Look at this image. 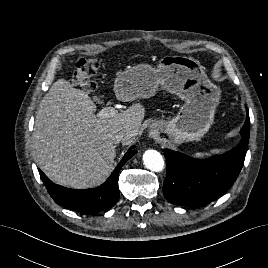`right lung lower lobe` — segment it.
<instances>
[{"instance_id": "98d812e1", "label": "right lung lower lobe", "mask_w": 268, "mask_h": 268, "mask_svg": "<svg viewBox=\"0 0 268 268\" xmlns=\"http://www.w3.org/2000/svg\"><path fill=\"white\" fill-rule=\"evenodd\" d=\"M133 148L134 146L124 155L107 181L97 188L69 189L51 182L41 170L39 174L49 194L58 205L85 214L105 211L112 208L119 199L118 173L127 160L136 153Z\"/></svg>"}]
</instances>
